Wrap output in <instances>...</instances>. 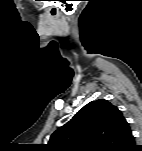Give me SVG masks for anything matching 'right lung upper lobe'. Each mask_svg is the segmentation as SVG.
<instances>
[{"label":"right lung upper lobe","mask_w":142,"mask_h":151,"mask_svg":"<svg viewBox=\"0 0 142 151\" xmlns=\"http://www.w3.org/2000/svg\"><path fill=\"white\" fill-rule=\"evenodd\" d=\"M134 137L122 112L107 100L89 102L56 130L47 147L51 151H125Z\"/></svg>","instance_id":"obj_1"}]
</instances>
